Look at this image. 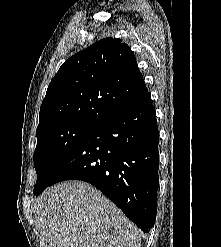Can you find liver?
I'll use <instances>...</instances> for the list:
<instances>
[{"label":"liver","instance_id":"1","mask_svg":"<svg viewBox=\"0 0 221 247\" xmlns=\"http://www.w3.org/2000/svg\"><path fill=\"white\" fill-rule=\"evenodd\" d=\"M40 247H140L136 226L92 185L65 181L37 199Z\"/></svg>","mask_w":221,"mask_h":247}]
</instances>
